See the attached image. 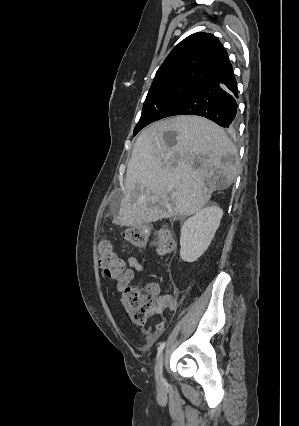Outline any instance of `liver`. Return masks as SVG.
Segmentation results:
<instances>
[{
    "mask_svg": "<svg viewBox=\"0 0 299 426\" xmlns=\"http://www.w3.org/2000/svg\"><path fill=\"white\" fill-rule=\"evenodd\" d=\"M171 131L172 144L164 138ZM236 155L225 131L204 117L182 115L150 125L133 146L113 222L135 227L199 212L213 191L236 178Z\"/></svg>",
    "mask_w": 299,
    "mask_h": 426,
    "instance_id": "liver-1",
    "label": "liver"
}]
</instances>
